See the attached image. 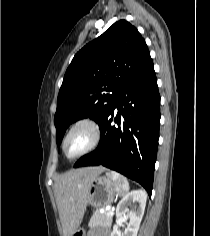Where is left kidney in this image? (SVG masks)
<instances>
[{
  "mask_svg": "<svg viewBox=\"0 0 210 236\" xmlns=\"http://www.w3.org/2000/svg\"><path fill=\"white\" fill-rule=\"evenodd\" d=\"M134 201L138 202V209L129 212L128 206L131 204V202ZM146 201L147 194L144 190L141 189L131 191L130 193L125 195L116 207V218L118 221L117 224H115L113 227L111 236H137L140 223L144 215ZM126 217L129 218V224L121 234L119 231V227L122 225V222Z\"/></svg>",
  "mask_w": 210,
  "mask_h": 236,
  "instance_id": "obj_1",
  "label": "left kidney"
}]
</instances>
